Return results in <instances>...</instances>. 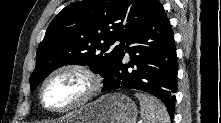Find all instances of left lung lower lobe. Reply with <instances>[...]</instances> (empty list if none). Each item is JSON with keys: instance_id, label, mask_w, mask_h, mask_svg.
I'll return each instance as SVG.
<instances>
[{"instance_id": "left-lung-lower-lobe-1", "label": "left lung lower lobe", "mask_w": 221, "mask_h": 123, "mask_svg": "<svg viewBox=\"0 0 221 123\" xmlns=\"http://www.w3.org/2000/svg\"><path fill=\"white\" fill-rule=\"evenodd\" d=\"M124 50L130 55L128 63L123 62ZM124 50L105 78L102 91H145L159 98L173 118L178 64L170 21L159 2L128 38Z\"/></svg>"}]
</instances>
